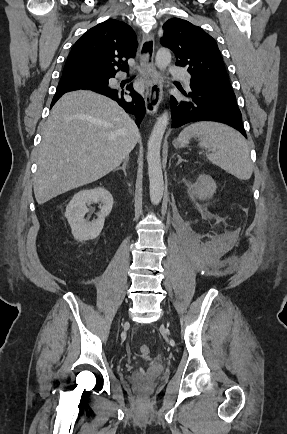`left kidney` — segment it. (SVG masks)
I'll return each instance as SVG.
<instances>
[{"label": "left kidney", "mask_w": 287, "mask_h": 434, "mask_svg": "<svg viewBox=\"0 0 287 434\" xmlns=\"http://www.w3.org/2000/svg\"><path fill=\"white\" fill-rule=\"evenodd\" d=\"M192 195L200 199H206L213 196L216 191V183L209 175H200L194 184L188 185Z\"/></svg>", "instance_id": "5707ae66"}]
</instances>
